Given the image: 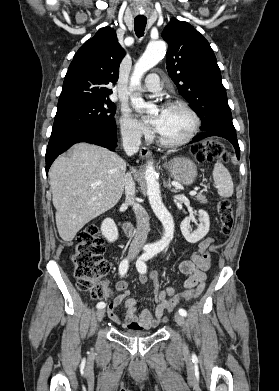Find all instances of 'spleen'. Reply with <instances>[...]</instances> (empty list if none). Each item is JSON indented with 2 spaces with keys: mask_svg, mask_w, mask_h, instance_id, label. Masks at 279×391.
<instances>
[{
  "mask_svg": "<svg viewBox=\"0 0 279 391\" xmlns=\"http://www.w3.org/2000/svg\"><path fill=\"white\" fill-rule=\"evenodd\" d=\"M213 180L221 197H231L234 186L228 169L221 163L216 162L213 169Z\"/></svg>",
  "mask_w": 279,
  "mask_h": 391,
  "instance_id": "spleen-1",
  "label": "spleen"
}]
</instances>
